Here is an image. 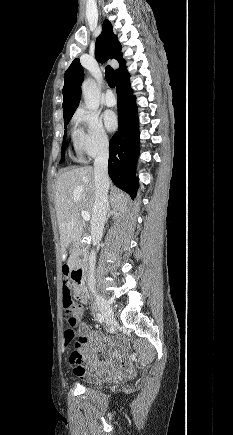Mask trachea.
Here are the masks:
<instances>
[{
  "instance_id": "trachea-1",
  "label": "trachea",
  "mask_w": 233,
  "mask_h": 435,
  "mask_svg": "<svg viewBox=\"0 0 233 435\" xmlns=\"http://www.w3.org/2000/svg\"><path fill=\"white\" fill-rule=\"evenodd\" d=\"M105 77H106V81H107L108 85L111 88H114L115 87V83H116L115 72H114L113 68H111V66H107L106 67Z\"/></svg>"
}]
</instances>
